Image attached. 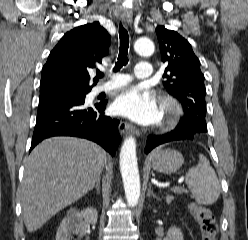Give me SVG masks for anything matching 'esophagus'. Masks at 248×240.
<instances>
[{
	"instance_id": "1",
	"label": "esophagus",
	"mask_w": 248,
	"mask_h": 240,
	"mask_svg": "<svg viewBox=\"0 0 248 240\" xmlns=\"http://www.w3.org/2000/svg\"><path fill=\"white\" fill-rule=\"evenodd\" d=\"M132 19H133V16H132V12L131 11H123L122 13V20L124 21V23L126 25H131L132 23ZM119 130L121 133H127V132H132L134 133L136 136H140V133L138 130H136L132 124L130 123H127V122H124V121H121L119 123Z\"/></svg>"
}]
</instances>
